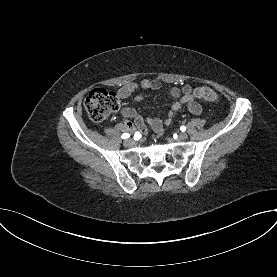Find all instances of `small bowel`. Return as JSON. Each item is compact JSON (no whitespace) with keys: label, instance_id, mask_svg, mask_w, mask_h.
Instances as JSON below:
<instances>
[{"label":"small bowel","instance_id":"obj_1","mask_svg":"<svg viewBox=\"0 0 277 277\" xmlns=\"http://www.w3.org/2000/svg\"><path fill=\"white\" fill-rule=\"evenodd\" d=\"M160 87L161 83L158 80L144 79L140 82H131L122 86L116 92V96L118 100L126 99L137 91L157 90ZM167 97L169 99H173L174 102L172 103L171 110L166 114L164 120H161L157 117H149L145 122L143 117L137 114L135 110L131 108H126L123 110V115L127 118H132L134 121V125L129 121H125L122 125L123 128L132 129L133 126H135L138 132H140L143 135H146L148 133V129L146 126L147 123L155 133L161 135L164 132V126H168L171 124L172 119L174 117V113L180 110L183 106H186L188 111L193 115H200L202 113V107L200 103L197 101V97L195 96L191 86L189 85H184L181 88L172 87L167 92ZM135 101H145V97L138 95L135 97Z\"/></svg>","mask_w":277,"mask_h":277}]
</instances>
